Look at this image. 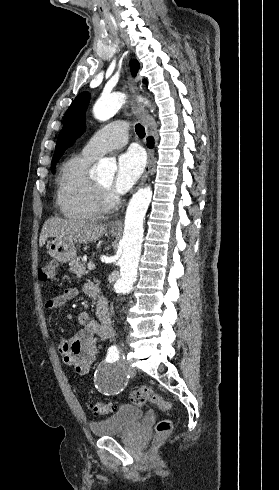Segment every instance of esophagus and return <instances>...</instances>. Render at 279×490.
I'll use <instances>...</instances> for the list:
<instances>
[{
	"label": "esophagus",
	"mask_w": 279,
	"mask_h": 490,
	"mask_svg": "<svg viewBox=\"0 0 279 490\" xmlns=\"http://www.w3.org/2000/svg\"><path fill=\"white\" fill-rule=\"evenodd\" d=\"M127 84H128L129 89L133 95H137L139 93V88L137 86V82L131 75L127 76ZM133 111H134L135 115L139 118V120H141V122L144 124L145 128L147 129V133L149 135L148 126H147V123H146L145 118H144V115H145L144 108L142 107V105L137 104L133 107ZM154 158H155V150L154 149H148L147 162H146V166L144 169V173H143L140 185L144 184V182L146 181V179L150 173V170L154 166ZM121 227H122V222L120 219H116L110 224V229H118Z\"/></svg>",
	"instance_id": "obj_1"
}]
</instances>
